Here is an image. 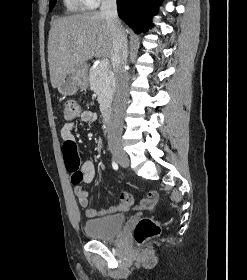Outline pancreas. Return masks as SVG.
I'll use <instances>...</instances> for the list:
<instances>
[{"instance_id":"obj_1","label":"pancreas","mask_w":247,"mask_h":280,"mask_svg":"<svg viewBox=\"0 0 247 280\" xmlns=\"http://www.w3.org/2000/svg\"><path fill=\"white\" fill-rule=\"evenodd\" d=\"M90 87L98 95L100 109L107 108L112 101L115 79L110 69L102 70L99 66L92 67L89 75Z\"/></svg>"}]
</instances>
